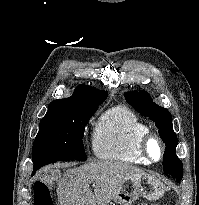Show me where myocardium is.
Here are the masks:
<instances>
[{
  "mask_svg": "<svg viewBox=\"0 0 199 205\" xmlns=\"http://www.w3.org/2000/svg\"><path fill=\"white\" fill-rule=\"evenodd\" d=\"M156 144L159 148V157L154 159L151 155V146ZM138 150L140 155L149 163H157L163 159L165 147L160 136L152 131L146 132L139 140Z\"/></svg>",
  "mask_w": 199,
  "mask_h": 205,
  "instance_id": "1",
  "label": "myocardium"
}]
</instances>
